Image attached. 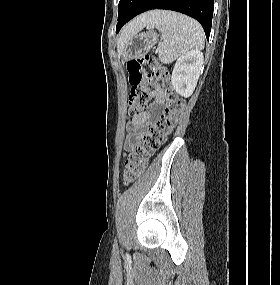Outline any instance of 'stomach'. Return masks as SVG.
I'll use <instances>...</instances> for the list:
<instances>
[{
    "label": "stomach",
    "mask_w": 280,
    "mask_h": 285,
    "mask_svg": "<svg viewBox=\"0 0 280 285\" xmlns=\"http://www.w3.org/2000/svg\"><path fill=\"white\" fill-rule=\"evenodd\" d=\"M158 35L152 29L148 32L135 34L127 40L123 49V59H137L147 54L156 44Z\"/></svg>",
    "instance_id": "obj_1"
}]
</instances>
